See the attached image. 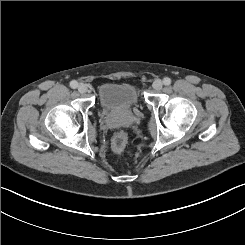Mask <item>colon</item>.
Returning <instances> with one entry per match:
<instances>
[{"mask_svg": "<svg viewBox=\"0 0 245 245\" xmlns=\"http://www.w3.org/2000/svg\"><path fill=\"white\" fill-rule=\"evenodd\" d=\"M127 146V135L123 131L115 133L111 140V148L116 153H122Z\"/></svg>", "mask_w": 245, "mask_h": 245, "instance_id": "colon-1", "label": "colon"}]
</instances>
